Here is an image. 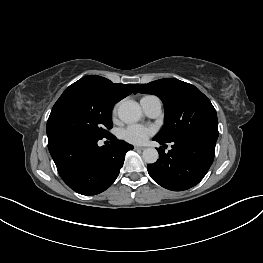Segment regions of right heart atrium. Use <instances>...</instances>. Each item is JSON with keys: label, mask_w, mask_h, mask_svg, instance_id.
Wrapping results in <instances>:
<instances>
[{"label": "right heart atrium", "mask_w": 263, "mask_h": 263, "mask_svg": "<svg viewBox=\"0 0 263 263\" xmlns=\"http://www.w3.org/2000/svg\"><path fill=\"white\" fill-rule=\"evenodd\" d=\"M113 113H114V114L116 113V107L114 108Z\"/></svg>", "instance_id": "d8ad5b80"}]
</instances>
